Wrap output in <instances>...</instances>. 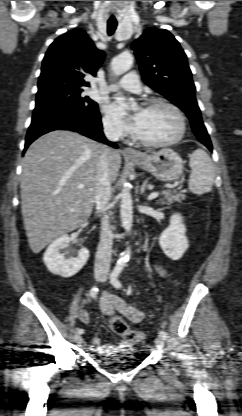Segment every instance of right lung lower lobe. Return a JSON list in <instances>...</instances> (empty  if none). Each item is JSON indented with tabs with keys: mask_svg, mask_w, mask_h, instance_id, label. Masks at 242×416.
Masks as SVG:
<instances>
[{
	"mask_svg": "<svg viewBox=\"0 0 242 416\" xmlns=\"http://www.w3.org/2000/svg\"><path fill=\"white\" fill-rule=\"evenodd\" d=\"M53 130L76 131L117 148V145L107 141L103 134L99 111L81 115L64 108L49 107L33 113L32 122L26 136L24 152L35 139Z\"/></svg>",
	"mask_w": 242,
	"mask_h": 416,
	"instance_id": "obj_1",
	"label": "right lung lower lobe"
}]
</instances>
